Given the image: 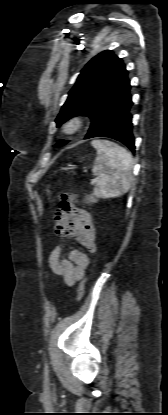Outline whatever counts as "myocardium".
Segmentation results:
<instances>
[{"label": "myocardium", "mask_w": 168, "mask_h": 415, "mask_svg": "<svg viewBox=\"0 0 168 415\" xmlns=\"http://www.w3.org/2000/svg\"><path fill=\"white\" fill-rule=\"evenodd\" d=\"M86 125V120L81 115H74L69 117L61 126V131L67 136H72L80 133Z\"/></svg>", "instance_id": "f54148a6"}]
</instances>
